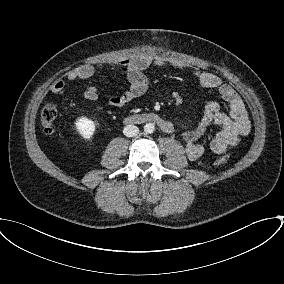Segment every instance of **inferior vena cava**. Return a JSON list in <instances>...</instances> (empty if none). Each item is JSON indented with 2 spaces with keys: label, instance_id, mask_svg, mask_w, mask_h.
<instances>
[{
  "label": "inferior vena cava",
  "instance_id": "obj_1",
  "mask_svg": "<svg viewBox=\"0 0 284 284\" xmlns=\"http://www.w3.org/2000/svg\"><path fill=\"white\" fill-rule=\"evenodd\" d=\"M123 133L127 137H134L139 134V128L135 125H127L123 129Z\"/></svg>",
  "mask_w": 284,
  "mask_h": 284
}]
</instances>
